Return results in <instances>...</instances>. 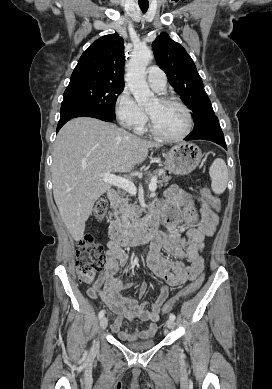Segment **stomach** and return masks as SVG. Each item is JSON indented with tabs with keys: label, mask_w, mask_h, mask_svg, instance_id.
Instances as JSON below:
<instances>
[{
	"label": "stomach",
	"mask_w": 272,
	"mask_h": 389,
	"mask_svg": "<svg viewBox=\"0 0 272 389\" xmlns=\"http://www.w3.org/2000/svg\"><path fill=\"white\" fill-rule=\"evenodd\" d=\"M165 169L177 175L191 173L201 162V149L193 143H180L164 153Z\"/></svg>",
	"instance_id": "obj_1"
}]
</instances>
